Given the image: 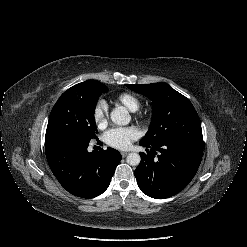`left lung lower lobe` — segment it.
I'll use <instances>...</instances> for the list:
<instances>
[{"label": "left lung lower lobe", "mask_w": 247, "mask_h": 247, "mask_svg": "<svg viewBox=\"0 0 247 247\" xmlns=\"http://www.w3.org/2000/svg\"><path fill=\"white\" fill-rule=\"evenodd\" d=\"M141 162L134 174L141 191L156 199H165L182 191L195 176L201 163L203 142L173 140L144 144Z\"/></svg>", "instance_id": "left-lung-lower-lobe-1"}]
</instances>
